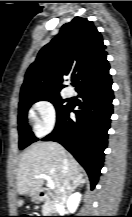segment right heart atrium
I'll use <instances>...</instances> for the list:
<instances>
[{"mask_svg":"<svg viewBox=\"0 0 132 217\" xmlns=\"http://www.w3.org/2000/svg\"><path fill=\"white\" fill-rule=\"evenodd\" d=\"M35 129L39 135L51 132L56 124V108L51 101L40 100L34 106Z\"/></svg>","mask_w":132,"mask_h":217,"instance_id":"1","label":"right heart atrium"}]
</instances>
